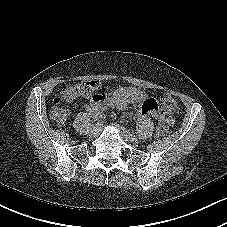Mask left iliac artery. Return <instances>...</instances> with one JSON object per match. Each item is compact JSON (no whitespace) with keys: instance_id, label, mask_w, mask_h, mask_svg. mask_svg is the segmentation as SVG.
<instances>
[{"instance_id":"left-iliac-artery-1","label":"left iliac artery","mask_w":227,"mask_h":227,"mask_svg":"<svg viewBox=\"0 0 227 227\" xmlns=\"http://www.w3.org/2000/svg\"><path fill=\"white\" fill-rule=\"evenodd\" d=\"M136 140H142V135H136Z\"/></svg>"}]
</instances>
